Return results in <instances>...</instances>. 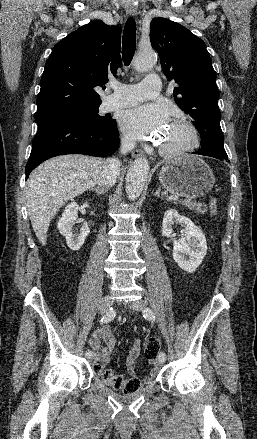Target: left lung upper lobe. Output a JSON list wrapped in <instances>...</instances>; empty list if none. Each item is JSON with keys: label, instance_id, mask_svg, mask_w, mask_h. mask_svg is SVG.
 Segmentation results:
<instances>
[{"label": "left lung upper lobe", "instance_id": "left-lung-upper-lobe-1", "mask_svg": "<svg viewBox=\"0 0 257 439\" xmlns=\"http://www.w3.org/2000/svg\"><path fill=\"white\" fill-rule=\"evenodd\" d=\"M151 45L157 50L162 70L178 87L177 105L191 117L201 135V153L227 155L220 126L219 92L212 59L204 41L179 23L154 18L150 25Z\"/></svg>", "mask_w": 257, "mask_h": 439}]
</instances>
